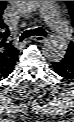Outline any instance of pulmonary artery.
<instances>
[{
  "label": "pulmonary artery",
  "instance_id": "obj_1",
  "mask_svg": "<svg viewBox=\"0 0 74 122\" xmlns=\"http://www.w3.org/2000/svg\"><path fill=\"white\" fill-rule=\"evenodd\" d=\"M41 14L57 38L62 40L70 35V27L60 16L54 1H42Z\"/></svg>",
  "mask_w": 74,
  "mask_h": 122
}]
</instances>
